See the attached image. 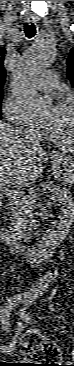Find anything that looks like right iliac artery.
<instances>
[{"label": "right iliac artery", "instance_id": "1", "mask_svg": "<svg viewBox=\"0 0 74 366\" xmlns=\"http://www.w3.org/2000/svg\"><path fill=\"white\" fill-rule=\"evenodd\" d=\"M28 297L24 294H18L15 295L14 297H12L11 299H9L2 311H1V322H2V327L4 330L8 331L9 329V314L11 312V310L16 307L17 305L21 304V303H26L28 301Z\"/></svg>", "mask_w": 74, "mask_h": 366}]
</instances>
